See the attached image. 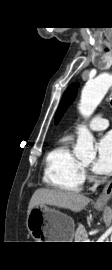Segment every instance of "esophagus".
I'll return each instance as SVG.
<instances>
[{
    "instance_id": "34e87169",
    "label": "esophagus",
    "mask_w": 112,
    "mask_h": 270,
    "mask_svg": "<svg viewBox=\"0 0 112 270\" xmlns=\"http://www.w3.org/2000/svg\"><path fill=\"white\" fill-rule=\"evenodd\" d=\"M112 197V178L105 185L103 191L95 201V205L98 207L105 206Z\"/></svg>"
}]
</instances>
